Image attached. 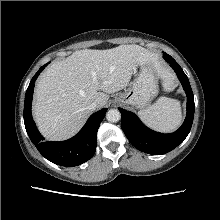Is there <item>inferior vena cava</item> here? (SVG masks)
<instances>
[{
  "label": "inferior vena cava",
  "instance_id": "obj_1",
  "mask_svg": "<svg viewBox=\"0 0 220 220\" xmlns=\"http://www.w3.org/2000/svg\"><path fill=\"white\" fill-rule=\"evenodd\" d=\"M98 108V103L97 102H93V103H91L89 106H88V109L90 110V111H94V110H96Z\"/></svg>",
  "mask_w": 220,
  "mask_h": 220
}]
</instances>
